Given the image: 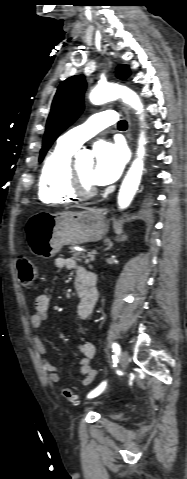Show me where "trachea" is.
Returning <instances> with one entry per match:
<instances>
[{
	"label": "trachea",
	"mask_w": 187,
	"mask_h": 479,
	"mask_svg": "<svg viewBox=\"0 0 187 479\" xmlns=\"http://www.w3.org/2000/svg\"><path fill=\"white\" fill-rule=\"evenodd\" d=\"M118 128L119 129H126L127 128V122L125 120H121L118 122Z\"/></svg>",
	"instance_id": "trachea-1"
}]
</instances>
